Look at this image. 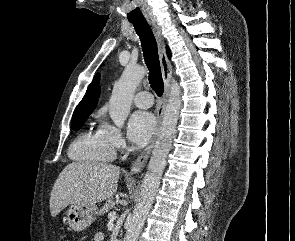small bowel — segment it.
I'll list each match as a JSON object with an SVG mask.
<instances>
[{
	"mask_svg": "<svg viewBox=\"0 0 295 241\" xmlns=\"http://www.w3.org/2000/svg\"><path fill=\"white\" fill-rule=\"evenodd\" d=\"M103 240V233L102 232H95L93 234L91 241H102Z\"/></svg>",
	"mask_w": 295,
	"mask_h": 241,
	"instance_id": "c3829d8e",
	"label": "small bowel"
}]
</instances>
